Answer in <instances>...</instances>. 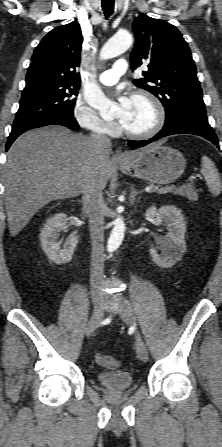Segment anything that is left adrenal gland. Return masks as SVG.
<instances>
[{
	"label": "left adrenal gland",
	"mask_w": 222,
	"mask_h": 447,
	"mask_svg": "<svg viewBox=\"0 0 222 447\" xmlns=\"http://www.w3.org/2000/svg\"><path fill=\"white\" fill-rule=\"evenodd\" d=\"M142 191H140V190H136L135 188H134V185L131 187V194H130V197H129V201H130V204H134L135 203V201H136V196L138 195V194H140Z\"/></svg>",
	"instance_id": "left-adrenal-gland-1"
}]
</instances>
